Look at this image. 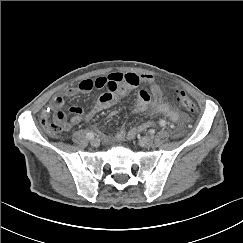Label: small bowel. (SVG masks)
<instances>
[{
  "mask_svg": "<svg viewBox=\"0 0 243 243\" xmlns=\"http://www.w3.org/2000/svg\"><path fill=\"white\" fill-rule=\"evenodd\" d=\"M141 83L149 86V92H138L135 112L140 113L144 111L150 104L152 113L165 114L171 121H179L180 114L164 101L161 88L155 78L150 74L136 75L134 73H111L107 76H100L95 79H83L77 86L69 87L65 89L62 94L56 96L51 104L44 109L43 114H49L53 110L61 108L64 104L65 97H75L79 94H87L94 89L101 90L102 93L89 110H85L78 105L70 107L69 110L72 117L70 122H66V129L68 130L71 126L81 122H90L94 119L97 113L119 103L130 90L136 88ZM148 125V123H145L138 127H133L127 132L125 129H121L117 133L116 138L118 140H122L125 137L132 139Z\"/></svg>",
  "mask_w": 243,
  "mask_h": 243,
  "instance_id": "small-bowel-1",
  "label": "small bowel"
}]
</instances>
